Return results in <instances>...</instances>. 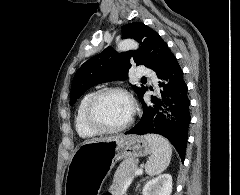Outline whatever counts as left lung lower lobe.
I'll return each instance as SVG.
<instances>
[{"label":"left lung lower lobe","instance_id":"left-lung-lower-lobe-1","mask_svg":"<svg viewBox=\"0 0 240 195\" xmlns=\"http://www.w3.org/2000/svg\"><path fill=\"white\" fill-rule=\"evenodd\" d=\"M159 97L152 96L151 103H142L143 115L136 126L125 134H160L166 137L184 160L188 129L191 121L188 88L183 71L172 53L156 72Z\"/></svg>","mask_w":240,"mask_h":195}]
</instances>
